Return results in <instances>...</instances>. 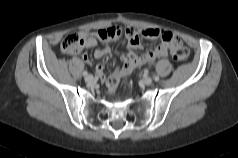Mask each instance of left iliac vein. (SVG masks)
<instances>
[{
	"mask_svg": "<svg viewBox=\"0 0 238 158\" xmlns=\"http://www.w3.org/2000/svg\"><path fill=\"white\" fill-rule=\"evenodd\" d=\"M143 82L145 85H151L153 80L150 77H146V78H144Z\"/></svg>",
	"mask_w": 238,
	"mask_h": 158,
	"instance_id": "4c4485c4",
	"label": "left iliac vein"
}]
</instances>
